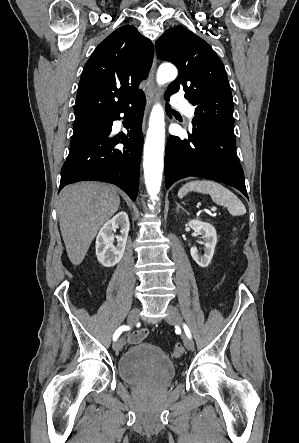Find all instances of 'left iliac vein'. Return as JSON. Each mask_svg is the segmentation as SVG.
Here are the masks:
<instances>
[{
    "instance_id": "obj_1",
    "label": "left iliac vein",
    "mask_w": 299,
    "mask_h": 443,
    "mask_svg": "<svg viewBox=\"0 0 299 443\" xmlns=\"http://www.w3.org/2000/svg\"><path fill=\"white\" fill-rule=\"evenodd\" d=\"M166 321L169 323L182 325V317L176 307H174L172 305H169L167 307ZM183 339H184V345H185L186 349L190 350V351L193 350L194 344H193L192 339L190 337H188L187 335H185L183 337Z\"/></svg>"
}]
</instances>
